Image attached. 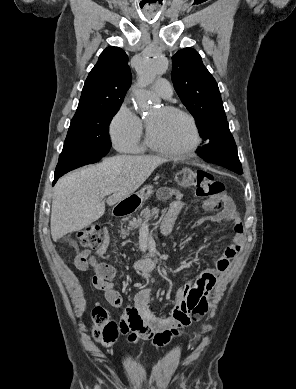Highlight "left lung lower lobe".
Instances as JSON below:
<instances>
[{
    "mask_svg": "<svg viewBox=\"0 0 296 389\" xmlns=\"http://www.w3.org/2000/svg\"><path fill=\"white\" fill-rule=\"evenodd\" d=\"M196 153L208 163L223 166L237 174H243L237 147L228 123L215 130Z\"/></svg>",
    "mask_w": 296,
    "mask_h": 389,
    "instance_id": "left-lung-lower-lobe-1",
    "label": "left lung lower lobe"
}]
</instances>
